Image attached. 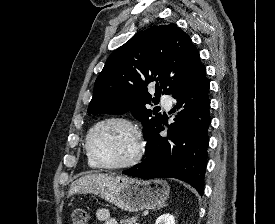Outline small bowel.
I'll use <instances>...</instances> for the list:
<instances>
[{"label":"small bowel","instance_id":"1","mask_svg":"<svg viewBox=\"0 0 275 224\" xmlns=\"http://www.w3.org/2000/svg\"><path fill=\"white\" fill-rule=\"evenodd\" d=\"M95 215L96 219L103 224H118L117 220L112 218L106 209H98Z\"/></svg>","mask_w":275,"mask_h":224}]
</instances>
